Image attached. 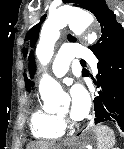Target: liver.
<instances>
[{
	"mask_svg": "<svg viewBox=\"0 0 124 149\" xmlns=\"http://www.w3.org/2000/svg\"><path fill=\"white\" fill-rule=\"evenodd\" d=\"M26 149H56V146L50 142L38 141L30 143Z\"/></svg>",
	"mask_w": 124,
	"mask_h": 149,
	"instance_id": "6515ba94",
	"label": "liver"
}]
</instances>
